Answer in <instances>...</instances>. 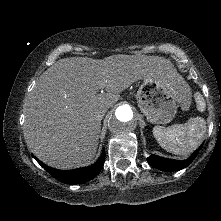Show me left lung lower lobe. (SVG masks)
Returning <instances> with one entry per match:
<instances>
[{
	"label": "left lung lower lobe",
	"instance_id": "left-lung-lower-lobe-1",
	"mask_svg": "<svg viewBox=\"0 0 221 221\" xmlns=\"http://www.w3.org/2000/svg\"><path fill=\"white\" fill-rule=\"evenodd\" d=\"M201 147L202 145L187 160L184 161L171 160L156 155H151L150 157L147 158V161L149 165L160 170L164 171L181 170L191 164V162L195 159L198 152L200 151Z\"/></svg>",
	"mask_w": 221,
	"mask_h": 221
}]
</instances>
